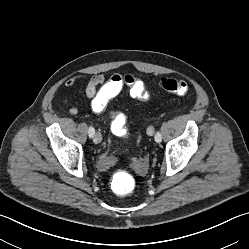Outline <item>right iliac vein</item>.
Instances as JSON below:
<instances>
[{
  "label": "right iliac vein",
  "instance_id": "1",
  "mask_svg": "<svg viewBox=\"0 0 249 249\" xmlns=\"http://www.w3.org/2000/svg\"><path fill=\"white\" fill-rule=\"evenodd\" d=\"M94 143L98 144L102 141V135L99 132H96L93 137Z\"/></svg>",
  "mask_w": 249,
  "mask_h": 249
}]
</instances>
